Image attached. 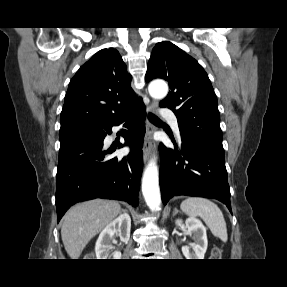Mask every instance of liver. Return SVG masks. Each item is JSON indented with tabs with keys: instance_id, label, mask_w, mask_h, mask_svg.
Here are the masks:
<instances>
[{
	"instance_id": "1",
	"label": "liver",
	"mask_w": 287,
	"mask_h": 287,
	"mask_svg": "<svg viewBox=\"0 0 287 287\" xmlns=\"http://www.w3.org/2000/svg\"><path fill=\"white\" fill-rule=\"evenodd\" d=\"M120 213V204L112 200L95 199L70 208L61 227L69 257L78 259L88 242Z\"/></svg>"
}]
</instances>
